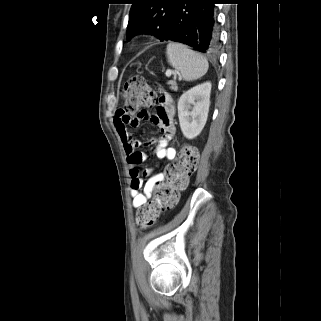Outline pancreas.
Masks as SVG:
<instances>
[{
	"label": "pancreas",
	"mask_w": 321,
	"mask_h": 321,
	"mask_svg": "<svg viewBox=\"0 0 321 321\" xmlns=\"http://www.w3.org/2000/svg\"><path fill=\"white\" fill-rule=\"evenodd\" d=\"M168 84L170 85L171 90H174V91L178 90L176 81H169Z\"/></svg>",
	"instance_id": "cf45deb5"
}]
</instances>
